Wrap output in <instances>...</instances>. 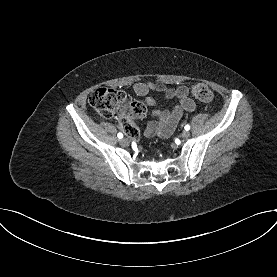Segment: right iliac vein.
<instances>
[{"label":"right iliac vein","mask_w":277,"mask_h":277,"mask_svg":"<svg viewBox=\"0 0 277 277\" xmlns=\"http://www.w3.org/2000/svg\"><path fill=\"white\" fill-rule=\"evenodd\" d=\"M120 144L122 145V146H128L129 145V140L127 139V138H122L121 140H120Z\"/></svg>","instance_id":"1"}]
</instances>
